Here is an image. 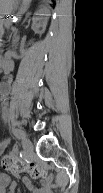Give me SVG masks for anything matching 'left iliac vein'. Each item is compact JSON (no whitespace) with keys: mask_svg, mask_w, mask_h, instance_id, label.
I'll list each match as a JSON object with an SVG mask.
<instances>
[{"mask_svg":"<svg viewBox=\"0 0 103 193\" xmlns=\"http://www.w3.org/2000/svg\"><path fill=\"white\" fill-rule=\"evenodd\" d=\"M22 147L24 149V152L27 155L32 154V152H33V144H32V142L28 138H26V137L22 138Z\"/></svg>","mask_w":103,"mask_h":193,"instance_id":"1","label":"left iliac vein"}]
</instances>
